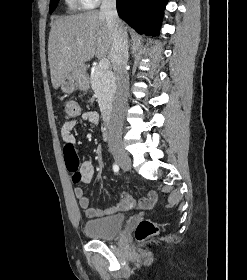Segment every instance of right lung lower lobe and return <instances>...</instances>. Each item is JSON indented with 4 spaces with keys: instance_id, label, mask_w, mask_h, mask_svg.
<instances>
[{
    "instance_id": "right-lung-lower-lobe-1",
    "label": "right lung lower lobe",
    "mask_w": 247,
    "mask_h": 280,
    "mask_svg": "<svg viewBox=\"0 0 247 280\" xmlns=\"http://www.w3.org/2000/svg\"><path fill=\"white\" fill-rule=\"evenodd\" d=\"M119 16L138 33L158 35L167 0H116Z\"/></svg>"
}]
</instances>
